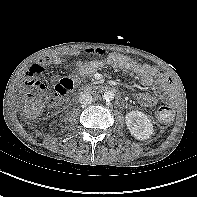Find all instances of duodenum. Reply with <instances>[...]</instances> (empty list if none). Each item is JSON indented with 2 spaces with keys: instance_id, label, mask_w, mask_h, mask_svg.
<instances>
[{
  "instance_id": "obj_1",
  "label": "duodenum",
  "mask_w": 197,
  "mask_h": 197,
  "mask_svg": "<svg viewBox=\"0 0 197 197\" xmlns=\"http://www.w3.org/2000/svg\"><path fill=\"white\" fill-rule=\"evenodd\" d=\"M110 90H112V88L110 86H101V85H99L93 89V91H96V92H104V91H110ZM81 91H83V90H81Z\"/></svg>"
}]
</instances>
